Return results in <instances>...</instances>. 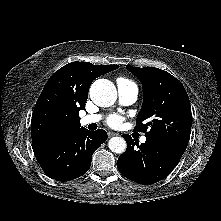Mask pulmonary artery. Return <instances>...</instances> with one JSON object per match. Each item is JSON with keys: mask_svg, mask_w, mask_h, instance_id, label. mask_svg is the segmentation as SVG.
<instances>
[{"mask_svg": "<svg viewBox=\"0 0 221 221\" xmlns=\"http://www.w3.org/2000/svg\"><path fill=\"white\" fill-rule=\"evenodd\" d=\"M117 90H118V97L119 101L122 104H132L136 101L138 96V88L133 83L125 80L123 78H119L117 80ZM102 119L101 114H90L85 115L81 118L82 125H89L93 123H98ZM141 143L146 142V136H142L140 138Z\"/></svg>", "mask_w": 221, "mask_h": 221, "instance_id": "1", "label": "pulmonary artery"}]
</instances>
